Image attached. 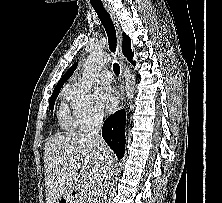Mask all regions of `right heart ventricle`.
<instances>
[{
  "label": "right heart ventricle",
  "mask_w": 222,
  "mask_h": 203,
  "mask_svg": "<svg viewBox=\"0 0 222 203\" xmlns=\"http://www.w3.org/2000/svg\"><path fill=\"white\" fill-rule=\"evenodd\" d=\"M67 92L64 94V97H66V98H67ZM58 118H59L60 123L65 128L72 129L75 125V122L70 118L69 112H68L65 104L61 105L59 112H58Z\"/></svg>",
  "instance_id": "obj_1"
}]
</instances>
